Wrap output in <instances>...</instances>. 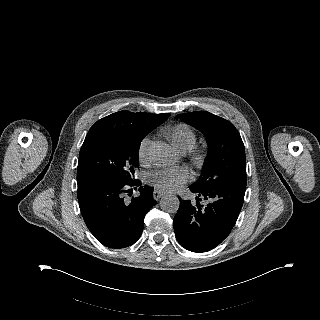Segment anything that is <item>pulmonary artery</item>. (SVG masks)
Masks as SVG:
<instances>
[{
	"label": "pulmonary artery",
	"instance_id": "pulmonary-artery-1",
	"mask_svg": "<svg viewBox=\"0 0 320 320\" xmlns=\"http://www.w3.org/2000/svg\"><path fill=\"white\" fill-rule=\"evenodd\" d=\"M181 153H185L186 151H184V150H182V151H180Z\"/></svg>",
	"mask_w": 320,
	"mask_h": 320
}]
</instances>
